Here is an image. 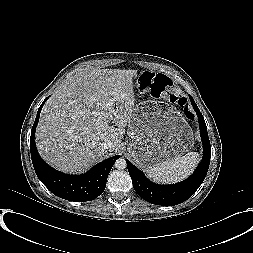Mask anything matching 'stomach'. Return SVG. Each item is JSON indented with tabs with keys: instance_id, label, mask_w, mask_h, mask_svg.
<instances>
[{
	"instance_id": "1",
	"label": "stomach",
	"mask_w": 253,
	"mask_h": 253,
	"mask_svg": "<svg viewBox=\"0 0 253 253\" xmlns=\"http://www.w3.org/2000/svg\"><path fill=\"white\" fill-rule=\"evenodd\" d=\"M128 127L133 137L128 152L144 169L181 157L193 144V132L183 114L165 101L136 104Z\"/></svg>"
}]
</instances>
